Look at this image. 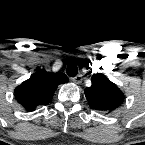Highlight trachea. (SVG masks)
<instances>
[{"label": "trachea", "mask_w": 145, "mask_h": 145, "mask_svg": "<svg viewBox=\"0 0 145 145\" xmlns=\"http://www.w3.org/2000/svg\"><path fill=\"white\" fill-rule=\"evenodd\" d=\"M67 75L70 77H75L78 73V68L76 66L75 63H69V65L67 66Z\"/></svg>", "instance_id": "obj_1"}]
</instances>
